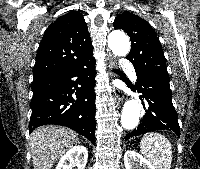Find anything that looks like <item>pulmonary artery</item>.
<instances>
[{
    "instance_id": "e3ab8cb5",
    "label": "pulmonary artery",
    "mask_w": 200,
    "mask_h": 169,
    "mask_svg": "<svg viewBox=\"0 0 200 169\" xmlns=\"http://www.w3.org/2000/svg\"><path fill=\"white\" fill-rule=\"evenodd\" d=\"M122 64H123V65H126V64H127V61H123ZM129 74H130V76H131L133 79L136 78V74H135L134 70H130V71H129Z\"/></svg>"
}]
</instances>
